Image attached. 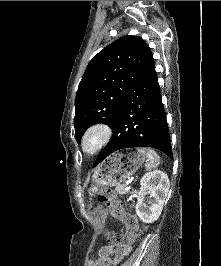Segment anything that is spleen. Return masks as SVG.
Listing matches in <instances>:
<instances>
[{
  "label": "spleen",
  "instance_id": "obj_1",
  "mask_svg": "<svg viewBox=\"0 0 221 266\" xmlns=\"http://www.w3.org/2000/svg\"><path fill=\"white\" fill-rule=\"evenodd\" d=\"M139 150L147 158L145 163L147 169L151 170L158 167V165L160 164V158L154 150L152 149H139Z\"/></svg>",
  "mask_w": 221,
  "mask_h": 266
}]
</instances>
